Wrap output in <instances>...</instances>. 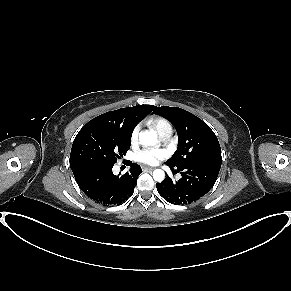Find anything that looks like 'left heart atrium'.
Returning <instances> with one entry per match:
<instances>
[{
    "label": "left heart atrium",
    "instance_id": "left-heart-atrium-1",
    "mask_svg": "<svg viewBox=\"0 0 291 291\" xmlns=\"http://www.w3.org/2000/svg\"><path fill=\"white\" fill-rule=\"evenodd\" d=\"M166 156V152L161 149L146 148L136 154V159L145 164H156Z\"/></svg>",
    "mask_w": 291,
    "mask_h": 291
}]
</instances>
